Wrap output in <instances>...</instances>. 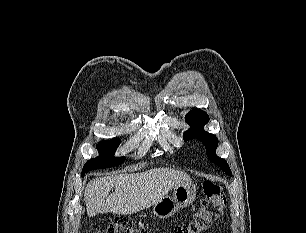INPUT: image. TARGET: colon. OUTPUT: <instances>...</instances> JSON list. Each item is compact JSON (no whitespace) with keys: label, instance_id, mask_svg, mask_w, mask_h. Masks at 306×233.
I'll return each instance as SVG.
<instances>
[{"label":"colon","instance_id":"1","mask_svg":"<svg viewBox=\"0 0 306 233\" xmlns=\"http://www.w3.org/2000/svg\"><path fill=\"white\" fill-rule=\"evenodd\" d=\"M204 199L193 217L185 224L178 225L171 233H201L209 229L220 218L226 205V197L221 186L205 181L202 186ZM93 233H147L144 225L120 218L108 220Z\"/></svg>","mask_w":306,"mask_h":233}]
</instances>
